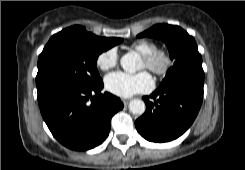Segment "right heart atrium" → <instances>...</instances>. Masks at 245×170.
Instances as JSON below:
<instances>
[{
	"mask_svg": "<svg viewBox=\"0 0 245 170\" xmlns=\"http://www.w3.org/2000/svg\"><path fill=\"white\" fill-rule=\"evenodd\" d=\"M119 61V54L115 48L101 52L96 58L97 67L101 70H109L115 67Z\"/></svg>",
	"mask_w": 245,
	"mask_h": 170,
	"instance_id": "obj_1",
	"label": "right heart atrium"
}]
</instances>
